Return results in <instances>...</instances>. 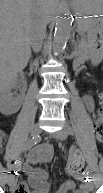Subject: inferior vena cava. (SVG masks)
<instances>
[{"instance_id": "obj_1", "label": "inferior vena cava", "mask_w": 103, "mask_h": 193, "mask_svg": "<svg viewBox=\"0 0 103 193\" xmlns=\"http://www.w3.org/2000/svg\"><path fill=\"white\" fill-rule=\"evenodd\" d=\"M45 31V21L41 18H34L29 28L30 43L34 52H38L41 49L42 40L45 36Z\"/></svg>"}]
</instances>
